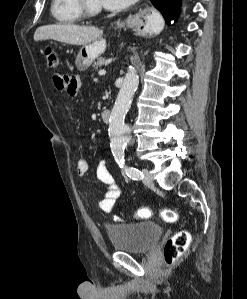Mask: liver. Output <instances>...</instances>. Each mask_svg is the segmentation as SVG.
Segmentation results:
<instances>
[{
  "mask_svg": "<svg viewBox=\"0 0 247 299\" xmlns=\"http://www.w3.org/2000/svg\"><path fill=\"white\" fill-rule=\"evenodd\" d=\"M103 32L97 27L73 24L44 25L36 29L34 41L53 39L71 45H86L101 38Z\"/></svg>",
  "mask_w": 247,
  "mask_h": 299,
  "instance_id": "liver-1",
  "label": "liver"
}]
</instances>
